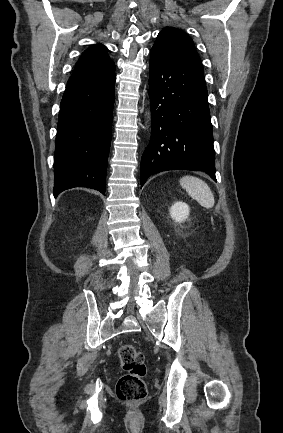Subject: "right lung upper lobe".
Masks as SVG:
<instances>
[{
  "mask_svg": "<svg viewBox=\"0 0 283 433\" xmlns=\"http://www.w3.org/2000/svg\"><path fill=\"white\" fill-rule=\"evenodd\" d=\"M101 44L88 48L79 58L66 88L89 85L115 75V64Z\"/></svg>",
  "mask_w": 283,
  "mask_h": 433,
  "instance_id": "right-lung-upper-lobe-1",
  "label": "right lung upper lobe"
}]
</instances>
